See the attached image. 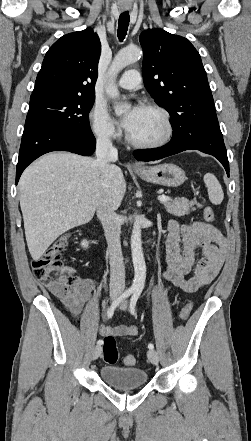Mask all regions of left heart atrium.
Wrapping results in <instances>:
<instances>
[{"label":"left heart atrium","instance_id":"1","mask_svg":"<svg viewBox=\"0 0 251 441\" xmlns=\"http://www.w3.org/2000/svg\"><path fill=\"white\" fill-rule=\"evenodd\" d=\"M141 111L140 107H134L122 120V125L128 131L134 126L135 121Z\"/></svg>","mask_w":251,"mask_h":441}]
</instances>
